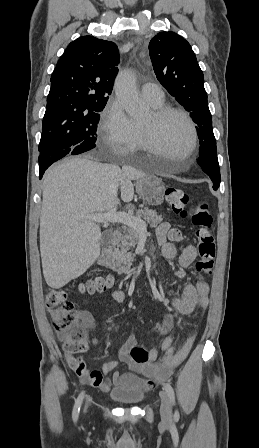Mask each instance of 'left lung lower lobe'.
I'll return each instance as SVG.
<instances>
[{
  "mask_svg": "<svg viewBox=\"0 0 259 448\" xmlns=\"http://www.w3.org/2000/svg\"><path fill=\"white\" fill-rule=\"evenodd\" d=\"M198 164L211 178L213 188L216 190L220 185V168L217 158L216 145L200 150Z\"/></svg>",
  "mask_w": 259,
  "mask_h": 448,
  "instance_id": "0a47b994",
  "label": "left lung lower lobe"
}]
</instances>
